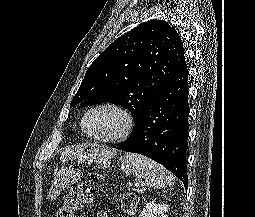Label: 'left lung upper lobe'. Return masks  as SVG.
Returning a JSON list of instances; mask_svg holds the SVG:
<instances>
[{
    "label": "left lung upper lobe",
    "mask_w": 255,
    "mask_h": 217,
    "mask_svg": "<svg viewBox=\"0 0 255 217\" xmlns=\"http://www.w3.org/2000/svg\"><path fill=\"white\" fill-rule=\"evenodd\" d=\"M178 32L151 20L127 32L90 65L70 107L110 102L128 109L135 126L150 102L185 62Z\"/></svg>",
    "instance_id": "left-lung-upper-lobe-1"
}]
</instances>
